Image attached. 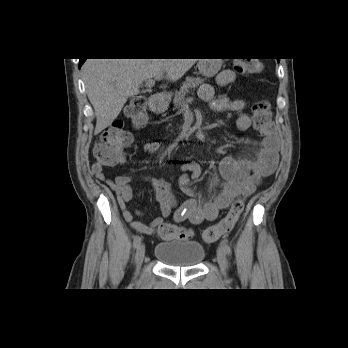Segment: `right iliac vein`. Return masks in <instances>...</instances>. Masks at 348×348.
I'll list each match as a JSON object with an SVG mask.
<instances>
[{
	"label": "right iliac vein",
	"instance_id": "63e3f726",
	"mask_svg": "<svg viewBox=\"0 0 348 348\" xmlns=\"http://www.w3.org/2000/svg\"><path fill=\"white\" fill-rule=\"evenodd\" d=\"M145 256V245L143 243H141L136 250V254H135V262H136V266H137V271L139 270L143 259Z\"/></svg>",
	"mask_w": 348,
	"mask_h": 348
}]
</instances>
